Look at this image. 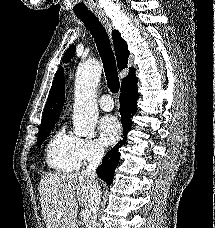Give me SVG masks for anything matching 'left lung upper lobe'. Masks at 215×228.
Returning <instances> with one entry per match:
<instances>
[{
    "label": "left lung upper lobe",
    "mask_w": 215,
    "mask_h": 228,
    "mask_svg": "<svg viewBox=\"0 0 215 228\" xmlns=\"http://www.w3.org/2000/svg\"><path fill=\"white\" fill-rule=\"evenodd\" d=\"M75 49H76V46L75 45H72L70 46L66 53L64 54V57H63V61L64 62H68L75 54Z\"/></svg>",
    "instance_id": "5c2ea615"
}]
</instances>
